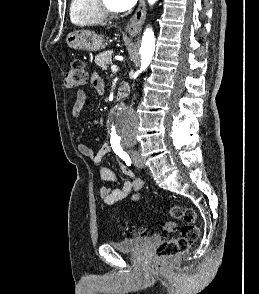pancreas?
I'll return each instance as SVG.
<instances>
[{
    "instance_id": "pancreas-1",
    "label": "pancreas",
    "mask_w": 259,
    "mask_h": 294,
    "mask_svg": "<svg viewBox=\"0 0 259 294\" xmlns=\"http://www.w3.org/2000/svg\"><path fill=\"white\" fill-rule=\"evenodd\" d=\"M112 54H113L112 51H105V52L98 54L95 57L96 65H98L103 70H106L107 66L112 63V59H111Z\"/></svg>"
}]
</instances>
